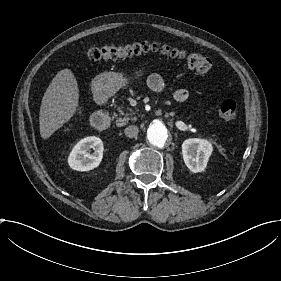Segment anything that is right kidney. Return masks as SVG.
Returning <instances> with one entry per match:
<instances>
[{"label": "right kidney", "instance_id": "right-kidney-1", "mask_svg": "<svg viewBox=\"0 0 281 281\" xmlns=\"http://www.w3.org/2000/svg\"><path fill=\"white\" fill-rule=\"evenodd\" d=\"M93 149L92 154L89 153ZM103 142L95 136L81 139L72 149L69 157V166L77 171H89L99 166L103 158Z\"/></svg>", "mask_w": 281, "mask_h": 281}]
</instances>
